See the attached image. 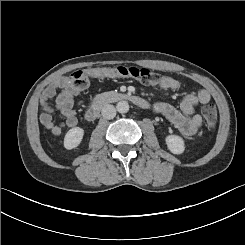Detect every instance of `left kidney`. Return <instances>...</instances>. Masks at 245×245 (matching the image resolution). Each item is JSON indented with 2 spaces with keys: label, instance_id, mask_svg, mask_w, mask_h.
Masks as SVG:
<instances>
[{
  "label": "left kidney",
  "instance_id": "obj_1",
  "mask_svg": "<svg viewBox=\"0 0 245 245\" xmlns=\"http://www.w3.org/2000/svg\"><path fill=\"white\" fill-rule=\"evenodd\" d=\"M168 149L173 154H182L185 150L184 140L178 135H169L165 139Z\"/></svg>",
  "mask_w": 245,
  "mask_h": 245
}]
</instances>
